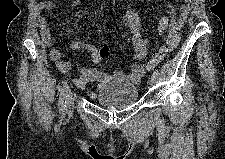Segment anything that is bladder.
I'll use <instances>...</instances> for the list:
<instances>
[{"instance_id":"bladder-1","label":"bladder","mask_w":225,"mask_h":159,"mask_svg":"<svg viewBox=\"0 0 225 159\" xmlns=\"http://www.w3.org/2000/svg\"><path fill=\"white\" fill-rule=\"evenodd\" d=\"M94 97L99 105L122 109L137 102L138 89L133 84L109 83L102 86Z\"/></svg>"}]
</instances>
